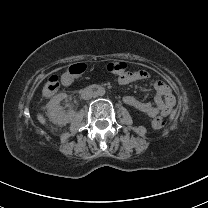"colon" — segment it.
I'll use <instances>...</instances> for the list:
<instances>
[{
  "instance_id": "5ec220e1",
  "label": "colon",
  "mask_w": 208,
  "mask_h": 208,
  "mask_svg": "<svg viewBox=\"0 0 208 208\" xmlns=\"http://www.w3.org/2000/svg\"><path fill=\"white\" fill-rule=\"evenodd\" d=\"M107 70L113 75L119 76L121 78L126 77V71H127V64L123 61L116 60L107 65ZM84 72V67L80 63H75L73 65L67 66L64 71L55 76L53 78V81L46 83V90H54L56 85L60 82H70L75 78L76 76L82 75ZM152 127L156 130H161L164 127V121L161 117H155L152 120Z\"/></svg>"
}]
</instances>
